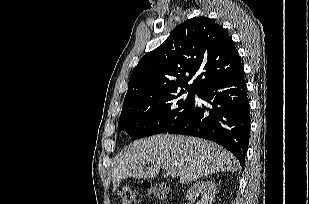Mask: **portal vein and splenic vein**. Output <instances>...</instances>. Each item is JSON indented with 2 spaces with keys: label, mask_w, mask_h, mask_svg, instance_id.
I'll return each instance as SVG.
<instances>
[{
  "label": "portal vein and splenic vein",
  "mask_w": 309,
  "mask_h": 204,
  "mask_svg": "<svg viewBox=\"0 0 309 204\" xmlns=\"http://www.w3.org/2000/svg\"><path fill=\"white\" fill-rule=\"evenodd\" d=\"M165 169H166V174L167 175H169L171 177H177L178 176L177 172L173 168L166 167Z\"/></svg>",
  "instance_id": "18ae733b"
}]
</instances>
